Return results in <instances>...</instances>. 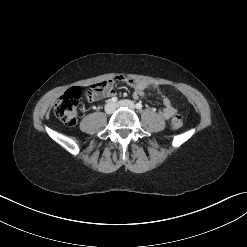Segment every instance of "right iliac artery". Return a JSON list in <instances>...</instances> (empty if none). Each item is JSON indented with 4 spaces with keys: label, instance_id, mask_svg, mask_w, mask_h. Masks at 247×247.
<instances>
[{
    "label": "right iliac artery",
    "instance_id": "right-iliac-artery-1",
    "mask_svg": "<svg viewBox=\"0 0 247 247\" xmlns=\"http://www.w3.org/2000/svg\"><path fill=\"white\" fill-rule=\"evenodd\" d=\"M110 101H111L112 103H116V102L118 101V99H117V97H112V98L110 99Z\"/></svg>",
    "mask_w": 247,
    "mask_h": 247
}]
</instances>
